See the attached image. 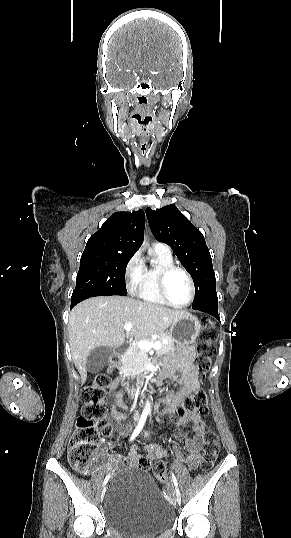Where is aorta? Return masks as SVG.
Here are the masks:
<instances>
[{"label": "aorta", "instance_id": "762f6f07", "mask_svg": "<svg viewBox=\"0 0 291 538\" xmlns=\"http://www.w3.org/2000/svg\"><path fill=\"white\" fill-rule=\"evenodd\" d=\"M144 413L149 414L151 413V403L147 400L145 407H144Z\"/></svg>", "mask_w": 291, "mask_h": 538}]
</instances>
